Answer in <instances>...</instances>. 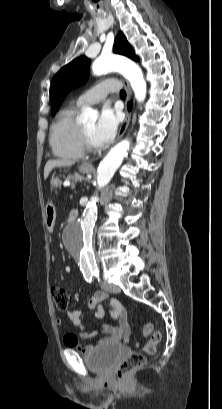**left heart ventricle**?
Masks as SVG:
<instances>
[{"mask_svg": "<svg viewBox=\"0 0 222 409\" xmlns=\"http://www.w3.org/2000/svg\"><path fill=\"white\" fill-rule=\"evenodd\" d=\"M82 126L84 127V129H85V131H86V133H87V135L89 137V140H90L91 144L96 146V144H95V142L93 140V132H94V129H95V126H96L95 122H90V123L84 124Z\"/></svg>", "mask_w": 222, "mask_h": 409, "instance_id": "obj_1", "label": "left heart ventricle"}]
</instances>
